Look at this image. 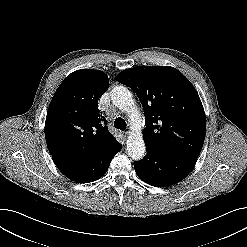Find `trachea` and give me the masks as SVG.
I'll return each instance as SVG.
<instances>
[{"mask_svg":"<svg viewBox=\"0 0 247 247\" xmlns=\"http://www.w3.org/2000/svg\"><path fill=\"white\" fill-rule=\"evenodd\" d=\"M114 127L116 129H120V130L124 131L126 129L125 120L122 119L121 117L116 118L115 121H114Z\"/></svg>","mask_w":247,"mask_h":247,"instance_id":"trachea-1","label":"trachea"}]
</instances>
